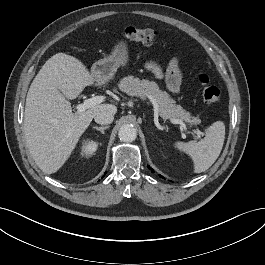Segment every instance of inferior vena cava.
<instances>
[{
	"label": "inferior vena cava",
	"instance_id": "602c4592",
	"mask_svg": "<svg viewBox=\"0 0 265 265\" xmlns=\"http://www.w3.org/2000/svg\"><path fill=\"white\" fill-rule=\"evenodd\" d=\"M95 122L98 124H110L113 122L114 119V113L109 110H103L96 113Z\"/></svg>",
	"mask_w": 265,
	"mask_h": 265
}]
</instances>
